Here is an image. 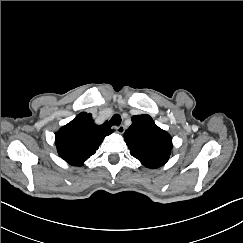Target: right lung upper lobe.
Listing matches in <instances>:
<instances>
[{
    "label": "right lung upper lobe",
    "instance_id": "cb5924a9",
    "mask_svg": "<svg viewBox=\"0 0 243 243\" xmlns=\"http://www.w3.org/2000/svg\"><path fill=\"white\" fill-rule=\"evenodd\" d=\"M112 132L107 122L97 126L91 114L82 112L57 131L55 144L58 154L70 165L81 166Z\"/></svg>",
    "mask_w": 243,
    "mask_h": 243
}]
</instances>
